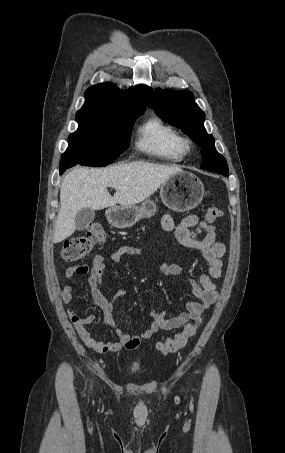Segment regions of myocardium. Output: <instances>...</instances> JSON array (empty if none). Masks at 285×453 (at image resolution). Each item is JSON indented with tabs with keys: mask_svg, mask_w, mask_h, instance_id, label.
Here are the masks:
<instances>
[{
	"mask_svg": "<svg viewBox=\"0 0 285 453\" xmlns=\"http://www.w3.org/2000/svg\"><path fill=\"white\" fill-rule=\"evenodd\" d=\"M181 148L186 153L192 148V141L188 137H181L180 140Z\"/></svg>",
	"mask_w": 285,
	"mask_h": 453,
	"instance_id": "myocardium-1",
	"label": "myocardium"
}]
</instances>
